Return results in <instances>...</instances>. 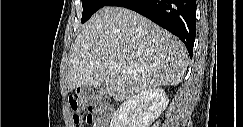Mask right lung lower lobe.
Here are the masks:
<instances>
[{
  "label": "right lung lower lobe",
  "mask_w": 243,
  "mask_h": 127,
  "mask_svg": "<svg viewBox=\"0 0 243 127\" xmlns=\"http://www.w3.org/2000/svg\"><path fill=\"white\" fill-rule=\"evenodd\" d=\"M106 6L125 7L149 18L179 37L192 57L196 0H110Z\"/></svg>",
  "instance_id": "98d812e1"
}]
</instances>
